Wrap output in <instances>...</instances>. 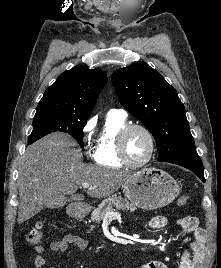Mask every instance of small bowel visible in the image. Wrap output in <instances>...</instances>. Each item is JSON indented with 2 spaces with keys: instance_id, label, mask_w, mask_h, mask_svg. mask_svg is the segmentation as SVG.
Returning a JSON list of instances; mask_svg holds the SVG:
<instances>
[{
  "instance_id": "small-bowel-1",
  "label": "small bowel",
  "mask_w": 221,
  "mask_h": 268,
  "mask_svg": "<svg viewBox=\"0 0 221 268\" xmlns=\"http://www.w3.org/2000/svg\"><path fill=\"white\" fill-rule=\"evenodd\" d=\"M168 220L165 216H155L148 221L146 228L150 230H158L166 227ZM178 228L183 234L190 235V241L184 252L179 268H201L204 254L207 234L204 229L199 226L198 220L194 216H183L176 222ZM70 245H75L79 250H85L88 242L77 235L67 234L60 240L52 241L49 245L50 249L55 252H64ZM44 247L36 245L34 251V265L36 268H43L46 265V259L43 255ZM54 268V267H52ZM141 268H168L167 265L160 261L148 262Z\"/></svg>"
}]
</instances>
